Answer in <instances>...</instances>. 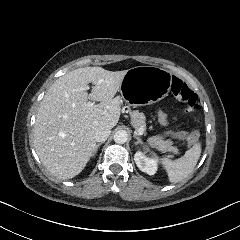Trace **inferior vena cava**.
Listing matches in <instances>:
<instances>
[{"mask_svg":"<svg viewBox=\"0 0 240 240\" xmlns=\"http://www.w3.org/2000/svg\"><path fill=\"white\" fill-rule=\"evenodd\" d=\"M111 130L106 127H100L94 134L95 142H105L109 137Z\"/></svg>","mask_w":240,"mask_h":240,"instance_id":"1","label":"inferior vena cava"}]
</instances>
